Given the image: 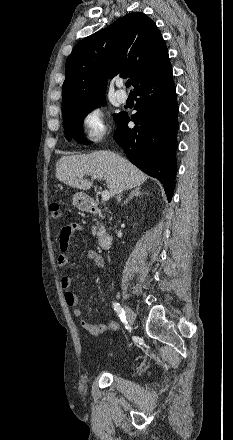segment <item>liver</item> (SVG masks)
<instances>
[{
    "label": "liver",
    "mask_w": 233,
    "mask_h": 440,
    "mask_svg": "<svg viewBox=\"0 0 233 440\" xmlns=\"http://www.w3.org/2000/svg\"><path fill=\"white\" fill-rule=\"evenodd\" d=\"M85 175L103 177L111 196L139 187L148 178L127 159L112 151L63 156L56 163V178L70 187L90 189L93 182L84 179Z\"/></svg>",
    "instance_id": "6515ba94"
}]
</instances>
